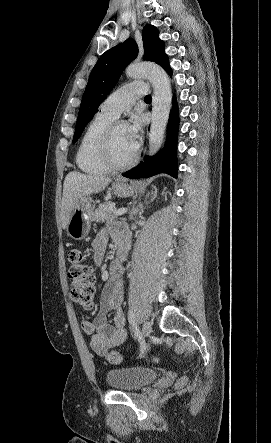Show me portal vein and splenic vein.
Segmentation results:
<instances>
[{"label":"portal vein and splenic vein","mask_w":271,"mask_h":443,"mask_svg":"<svg viewBox=\"0 0 271 443\" xmlns=\"http://www.w3.org/2000/svg\"><path fill=\"white\" fill-rule=\"evenodd\" d=\"M125 212H127V210H117V212H113L114 216H123V214H125Z\"/></svg>","instance_id":"1"}]
</instances>
